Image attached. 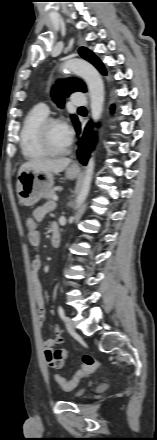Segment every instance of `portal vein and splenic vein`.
I'll use <instances>...</instances> for the list:
<instances>
[{
	"label": "portal vein and splenic vein",
	"instance_id": "18ae733b",
	"mask_svg": "<svg viewBox=\"0 0 157 440\" xmlns=\"http://www.w3.org/2000/svg\"><path fill=\"white\" fill-rule=\"evenodd\" d=\"M53 200H54V201H57V200H58V196L55 195V196L53 197Z\"/></svg>",
	"mask_w": 157,
	"mask_h": 440
}]
</instances>
